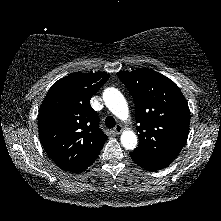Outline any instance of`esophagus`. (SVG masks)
I'll list each match as a JSON object with an SVG mask.
<instances>
[{
	"mask_svg": "<svg viewBox=\"0 0 221 221\" xmlns=\"http://www.w3.org/2000/svg\"><path fill=\"white\" fill-rule=\"evenodd\" d=\"M113 131L115 134H120L123 131L122 125L120 124L116 125Z\"/></svg>",
	"mask_w": 221,
	"mask_h": 221,
	"instance_id": "obj_1",
	"label": "esophagus"
}]
</instances>
